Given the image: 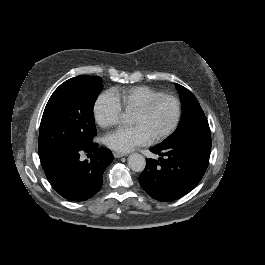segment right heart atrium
<instances>
[{
	"mask_svg": "<svg viewBox=\"0 0 265 265\" xmlns=\"http://www.w3.org/2000/svg\"><path fill=\"white\" fill-rule=\"evenodd\" d=\"M121 106L111 93H102L93 106V116L96 123L106 128L119 123Z\"/></svg>",
	"mask_w": 265,
	"mask_h": 265,
	"instance_id": "1",
	"label": "right heart atrium"
}]
</instances>
